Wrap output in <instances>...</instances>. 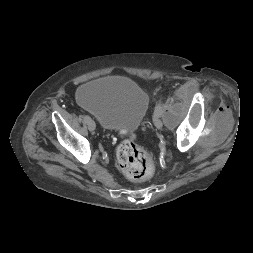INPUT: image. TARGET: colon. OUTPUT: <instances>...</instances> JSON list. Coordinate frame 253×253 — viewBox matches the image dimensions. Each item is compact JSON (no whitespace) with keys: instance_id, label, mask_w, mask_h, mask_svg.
Masks as SVG:
<instances>
[{"instance_id":"1","label":"colon","mask_w":253,"mask_h":253,"mask_svg":"<svg viewBox=\"0 0 253 253\" xmlns=\"http://www.w3.org/2000/svg\"><path fill=\"white\" fill-rule=\"evenodd\" d=\"M117 148V163L123 174L133 182H144L154 175V165L149 153L141 147L134 136L122 133Z\"/></svg>"}]
</instances>
